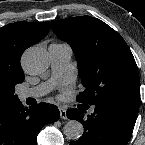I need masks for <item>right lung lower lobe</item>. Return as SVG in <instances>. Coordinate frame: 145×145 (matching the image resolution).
<instances>
[{
    "label": "right lung lower lobe",
    "mask_w": 145,
    "mask_h": 145,
    "mask_svg": "<svg viewBox=\"0 0 145 145\" xmlns=\"http://www.w3.org/2000/svg\"><path fill=\"white\" fill-rule=\"evenodd\" d=\"M58 108L41 102L29 109L20 100L0 104V145H37V135L47 123L59 119Z\"/></svg>",
    "instance_id": "98d812e1"
}]
</instances>
